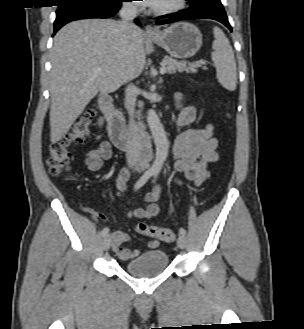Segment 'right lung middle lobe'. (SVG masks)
<instances>
[{"instance_id":"obj_1","label":"right lung middle lobe","mask_w":304,"mask_h":329,"mask_svg":"<svg viewBox=\"0 0 304 329\" xmlns=\"http://www.w3.org/2000/svg\"><path fill=\"white\" fill-rule=\"evenodd\" d=\"M59 1V8L67 5L78 4V3H90V4H106L112 3L117 0H58Z\"/></svg>"}]
</instances>
